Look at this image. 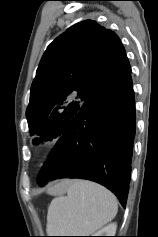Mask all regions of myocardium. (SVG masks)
I'll list each match as a JSON object with an SVG mask.
<instances>
[{
  "mask_svg": "<svg viewBox=\"0 0 158 237\" xmlns=\"http://www.w3.org/2000/svg\"><path fill=\"white\" fill-rule=\"evenodd\" d=\"M49 149H50V147L47 146V145L40 147V148H39V154H40V156L46 155V154L48 153Z\"/></svg>",
  "mask_w": 158,
  "mask_h": 237,
  "instance_id": "f54148a6",
  "label": "myocardium"
}]
</instances>
